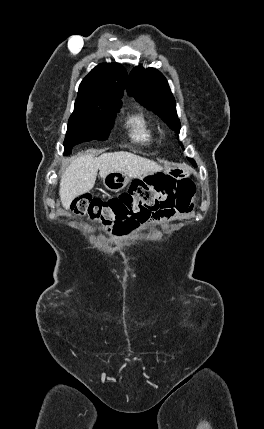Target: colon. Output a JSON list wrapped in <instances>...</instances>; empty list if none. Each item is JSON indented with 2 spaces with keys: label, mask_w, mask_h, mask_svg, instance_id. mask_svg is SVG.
I'll list each match as a JSON object with an SVG mask.
<instances>
[{
  "label": "colon",
  "mask_w": 264,
  "mask_h": 429,
  "mask_svg": "<svg viewBox=\"0 0 264 429\" xmlns=\"http://www.w3.org/2000/svg\"><path fill=\"white\" fill-rule=\"evenodd\" d=\"M194 195L195 187L190 181H136L128 191L106 201L80 196L72 209L76 216L87 218L106 231L127 232L160 213L190 212Z\"/></svg>",
  "instance_id": "1"
}]
</instances>
